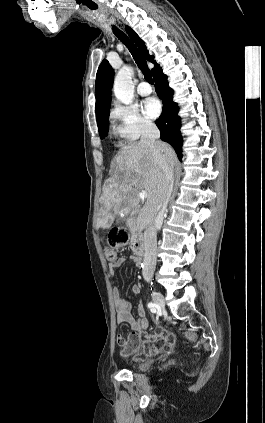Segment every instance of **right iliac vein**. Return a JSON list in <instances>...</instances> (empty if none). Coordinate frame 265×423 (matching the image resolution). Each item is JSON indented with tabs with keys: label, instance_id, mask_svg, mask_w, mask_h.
I'll return each instance as SVG.
<instances>
[{
	"label": "right iliac vein",
	"instance_id": "63e3f726",
	"mask_svg": "<svg viewBox=\"0 0 265 423\" xmlns=\"http://www.w3.org/2000/svg\"><path fill=\"white\" fill-rule=\"evenodd\" d=\"M151 296H152L153 301H154V302H155V303H156L159 307L164 308L165 301H164L163 296H162L159 292L152 290V292H151Z\"/></svg>",
	"mask_w": 265,
	"mask_h": 423
}]
</instances>
